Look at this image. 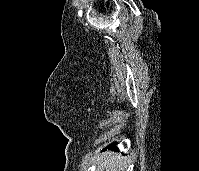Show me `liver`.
<instances>
[{
	"label": "liver",
	"mask_w": 199,
	"mask_h": 171,
	"mask_svg": "<svg viewBox=\"0 0 199 171\" xmlns=\"http://www.w3.org/2000/svg\"><path fill=\"white\" fill-rule=\"evenodd\" d=\"M97 171H125L127 162L119 155L106 153L97 160Z\"/></svg>",
	"instance_id": "6515ba94"
}]
</instances>
